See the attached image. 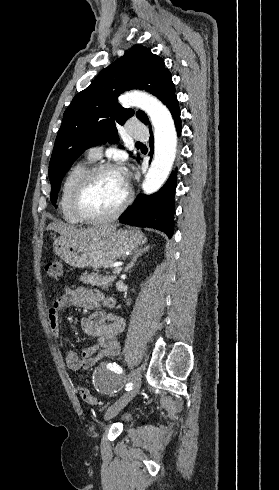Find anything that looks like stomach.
Segmentation results:
<instances>
[{
	"instance_id": "1",
	"label": "stomach",
	"mask_w": 279,
	"mask_h": 490,
	"mask_svg": "<svg viewBox=\"0 0 279 490\" xmlns=\"http://www.w3.org/2000/svg\"><path fill=\"white\" fill-rule=\"evenodd\" d=\"M146 238L140 230H111L106 234H97L90 240H69L56 238L53 250L72 268H110L116 260L130 256Z\"/></svg>"
}]
</instances>
